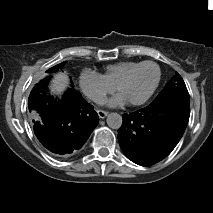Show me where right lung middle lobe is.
Listing matches in <instances>:
<instances>
[{"label": "right lung middle lobe", "mask_w": 213, "mask_h": 213, "mask_svg": "<svg viewBox=\"0 0 213 213\" xmlns=\"http://www.w3.org/2000/svg\"><path fill=\"white\" fill-rule=\"evenodd\" d=\"M65 62H66V61H65ZM65 62H62V63H60V64H58V65H56V66L50 68L47 72H56L58 69H60V68L63 66V64H64ZM45 79H49V77H47V78H45ZM43 80H44V79H43Z\"/></svg>", "instance_id": "dd1d6c3e"}]
</instances>
